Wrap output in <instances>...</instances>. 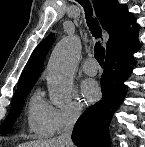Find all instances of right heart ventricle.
Wrapping results in <instances>:
<instances>
[{"label":"right heart ventricle","instance_id":"1","mask_svg":"<svg viewBox=\"0 0 145 147\" xmlns=\"http://www.w3.org/2000/svg\"><path fill=\"white\" fill-rule=\"evenodd\" d=\"M51 105L36 92L30 98L27 112V124L31 132L39 137L49 136L51 126L49 121Z\"/></svg>","mask_w":145,"mask_h":147}]
</instances>
